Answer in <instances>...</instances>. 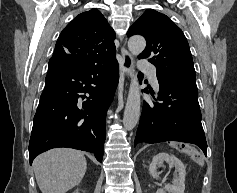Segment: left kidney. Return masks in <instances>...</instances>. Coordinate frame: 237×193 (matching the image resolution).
<instances>
[{
	"mask_svg": "<svg viewBox=\"0 0 237 193\" xmlns=\"http://www.w3.org/2000/svg\"><path fill=\"white\" fill-rule=\"evenodd\" d=\"M164 162L168 163L170 168L175 167V170L179 175L173 180L172 184L165 185L164 188L158 189L156 193H184L186 168L175 156H171L164 152L155 155L149 166L151 176L156 179L159 178L157 169L162 166Z\"/></svg>",
	"mask_w": 237,
	"mask_h": 193,
	"instance_id": "obj_1",
	"label": "left kidney"
}]
</instances>
